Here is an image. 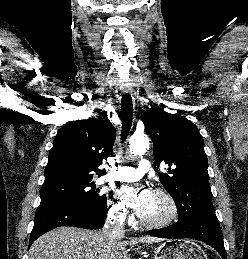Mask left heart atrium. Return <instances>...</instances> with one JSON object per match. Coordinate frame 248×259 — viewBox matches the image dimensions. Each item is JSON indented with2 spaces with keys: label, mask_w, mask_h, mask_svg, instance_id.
<instances>
[{
  "label": "left heart atrium",
  "mask_w": 248,
  "mask_h": 259,
  "mask_svg": "<svg viewBox=\"0 0 248 259\" xmlns=\"http://www.w3.org/2000/svg\"><path fill=\"white\" fill-rule=\"evenodd\" d=\"M118 194L141 217L146 213L153 196V193L147 188L132 186L122 187Z\"/></svg>",
  "instance_id": "left-heart-atrium-1"
}]
</instances>
